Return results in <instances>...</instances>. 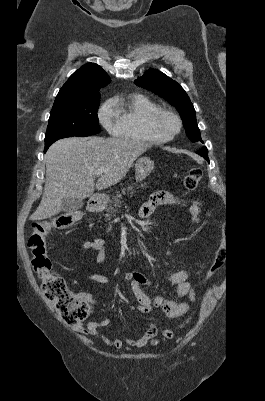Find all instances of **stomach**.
<instances>
[{"mask_svg": "<svg viewBox=\"0 0 265 401\" xmlns=\"http://www.w3.org/2000/svg\"><path fill=\"white\" fill-rule=\"evenodd\" d=\"M154 168V162L150 156H141L135 162V178L136 180H144Z\"/></svg>", "mask_w": 265, "mask_h": 401, "instance_id": "stomach-1", "label": "stomach"}]
</instances>
